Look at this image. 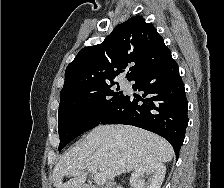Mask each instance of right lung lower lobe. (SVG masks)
<instances>
[{
  "label": "right lung lower lobe",
  "instance_id": "1",
  "mask_svg": "<svg viewBox=\"0 0 224 188\" xmlns=\"http://www.w3.org/2000/svg\"><path fill=\"white\" fill-rule=\"evenodd\" d=\"M132 80L133 88L147 98L126 95L100 123L133 125L154 132L171 143L177 160L188 125V102L177 63L170 53Z\"/></svg>",
  "mask_w": 224,
  "mask_h": 188
}]
</instances>
